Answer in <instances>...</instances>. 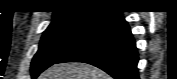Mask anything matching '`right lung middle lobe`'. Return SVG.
Masks as SVG:
<instances>
[{
  "label": "right lung middle lobe",
  "mask_w": 177,
  "mask_h": 79,
  "mask_svg": "<svg viewBox=\"0 0 177 79\" xmlns=\"http://www.w3.org/2000/svg\"><path fill=\"white\" fill-rule=\"evenodd\" d=\"M101 20L102 17L95 16L52 23L44 32L38 52L32 60V78L35 79L84 40Z\"/></svg>",
  "instance_id": "obj_1"
}]
</instances>
